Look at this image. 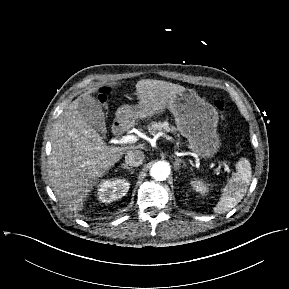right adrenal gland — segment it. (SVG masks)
<instances>
[{
	"label": "right adrenal gland",
	"mask_w": 289,
	"mask_h": 289,
	"mask_svg": "<svg viewBox=\"0 0 289 289\" xmlns=\"http://www.w3.org/2000/svg\"><path fill=\"white\" fill-rule=\"evenodd\" d=\"M121 167H122L123 169H127V170H129V171H132V170H133L132 167H129V166H128L127 164H125V163L121 164Z\"/></svg>",
	"instance_id": "right-adrenal-gland-1"
}]
</instances>
